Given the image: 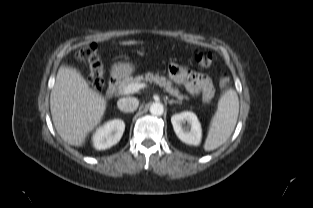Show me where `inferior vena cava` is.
<instances>
[{"label": "inferior vena cava", "instance_id": "inferior-vena-cava-1", "mask_svg": "<svg viewBox=\"0 0 313 208\" xmlns=\"http://www.w3.org/2000/svg\"><path fill=\"white\" fill-rule=\"evenodd\" d=\"M139 105L138 99L134 97H125L121 98L117 102L118 108L123 112H134Z\"/></svg>", "mask_w": 313, "mask_h": 208}]
</instances>
